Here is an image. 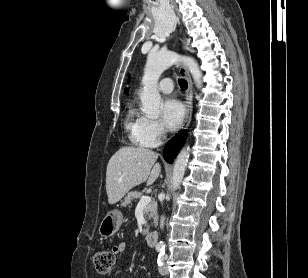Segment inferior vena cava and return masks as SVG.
I'll return each mask as SVG.
<instances>
[{
    "mask_svg": "<svg viewBox=\"0 0 308 278\" xmlns=\"http://www.w3.org/2000/svg\"><path fill=\"white\" fill-rule=\"evenodd\" d=\"M164 221H165V217L162 216V217H161V220H160V228H161V229H163V227H164Z\"/></svg>",
    "mask_w": 308,
    "mask_h": 278,
    "instance_id": "602c4592",
    "label": "inferior vena cava"
}]
</instances>
